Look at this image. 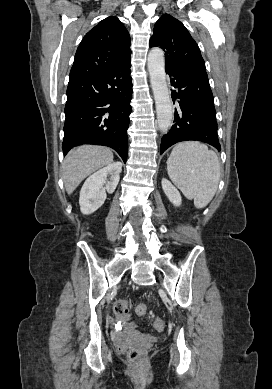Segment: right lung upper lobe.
Returning <instances> with one entry per match:
<instances>
[{
	"label": "right lung upper lobe",
	"instance_id": "right-lung-upper-lobe-1",
	"mask_svg": "<svg viewBox=\"0 0 272 389\" xmlns=\"http://www.w3.org/2000/svg\"><path fill=\"white\" fill-rule=\"evenodd\" d=\"M131 57L130 36L117 17H107L82 39L70 78L100 73Z\"/></svg>",
	"mask_w": 272,
	"mask_h": 389
}]
</instances>
